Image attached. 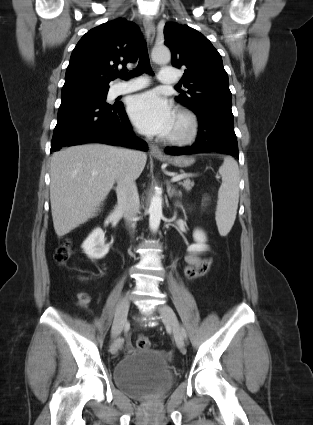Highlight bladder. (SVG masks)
Wrapping results in <instances>:
<instances>
[{
	"label": "bladder",
	"mask_w": 313,
	"mask_h": 425,
	"mask_svg": "<svg viewBox=\"0 0 313 425\" xmlns=\"http://www.w3.org/2000/svg\"><path fill=\"white\" fill-rule=\"evenodd\" d=\"M114 381L120 391L133 398L161 396L173 383L169 358L162 350L127 354L114 367Z\"/></svg>",
	"instance_id": "obj_1"
}]
</instances>
